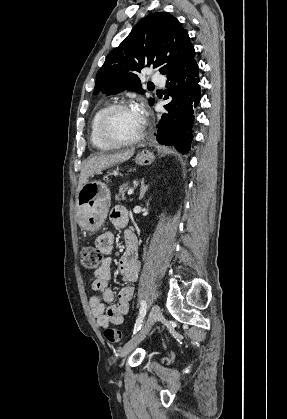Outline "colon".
I'll return each instance as SVG.
<instances>
[{"mask_svg":"<svg viewBox=\"0 0 287 419\" xmlns=\"http://www.w3.org/2000/svg\"><path fill=\"white\" fill-rule=\"evenodd\" d=\"M102 259V254L96 247H85L81 252L82 266L86 271H96ZM104 337L110 343H117L123 339V334L118 329L108 328L104 331Z\"/></svg>","mask_w":287,"mask_h":419,"instance_id":"5ec220e1","label":"colon"}]
</instances>
